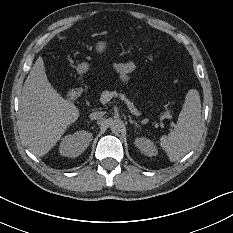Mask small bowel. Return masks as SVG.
I'll list each match as a JSON object with an SVG mask.
<instances>
[{"label": "small bowel", "mask_w": 233, "mask_h": 233, "mask_svg": "<svg viewBox=\"0 0 233 233\" xmlns=\"http://www.w3.org/2000/svg\"><path fill=\"white\" fill-rule=\"evenodd\" d=\"M114 69L119 74L123 83H128L130 76L135 73L136 66L133 62L115 63Z\"/></svg>", "instance_id": "c3829d8e"}]
</instances>
